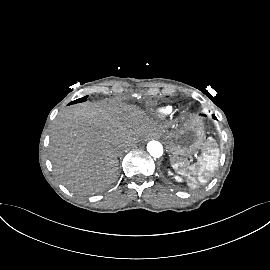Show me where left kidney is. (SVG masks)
<instances>
[{
  "label": "left kidney",
  "instance_id": "5707ae66",
  "mask_svg": "<svg viewBox=\"0 0 270 270\" xmlns=\"http://www.w3.org/2000/svg\"><path fill=\"white\" fill-rule=\"evenodd\" d=\"M168 175H173V173H172L170 170H168ZM175 179H176L177 181H181V179H180L179 177H175Z\"/></svg>",
  "mask_w": 270,
  "mask_h": 270
}]
</instances>
